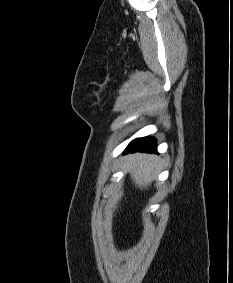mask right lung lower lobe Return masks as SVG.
Returning a JSON list of instances; mask_svg holds the SVG:
<instances>
[{
	"mask_svg": "<svg viewBox=\"0 0 233 283\" xmlns=\"http://www.w3.org/2000/svg\"><path fill=\"white\" fill-rule=\"evenodd\" d=\"M156 152L157 145L154 138L143 137L132 141L124 150V154L129 152Z\"/></svg>",
	"mask_w": 233,
	"mask_h": 283,
	"instance_id": "1",
	"label": "right lung lower lobe"
}]
</instances>
